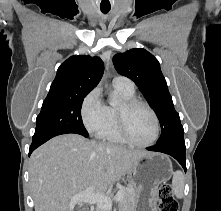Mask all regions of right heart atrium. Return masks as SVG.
<instances>
[{"instance_id":"right-heart-atrium-1","label":"right heart atrium","mask_w":221,"mask_h":211,"mask_svg":"<svg viewBox=\"0 0 221 211\" xmlns=\"http://www.w3.org/2000/svg\"><path fill=\"white\" fill-rule=\"evenodd\" d=\"M80 115L84 127L90 134L99 136L106 129L109 122L108 107L98 88L93 89L84 97Z\"/></svg>"}]
</instances>
